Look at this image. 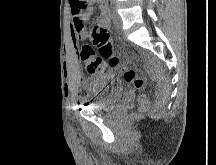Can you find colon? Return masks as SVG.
Returning a JSON list of instances; mask_svg holds the SVG:
<instances>
[{
    "instance_id": "1",
    "label": "colon",
    "mask_w": 216,
    "mask_h": 165,
    "mask_svg": "<svg viewBox=\"0 0 216 165\" xmlns=\"http://www.w3.org/2000/svg\"><path fill=\"white\" fill-rule=\"evenodd\" d=\"M72 7L75 5H86L85 0H70ZM92 44L97 48L99 56L96 55L94 48L89 44L82 45L80 58L85 63V68L92 73H100L105 68H119L126 82L131 83L141 92L140 102L145 103L143 91L146 87L145 80L131 68L121 65L120 59L113 52V45L109 31L99 24H96L91 31Z\"/></svg>"
}]
</instances>
